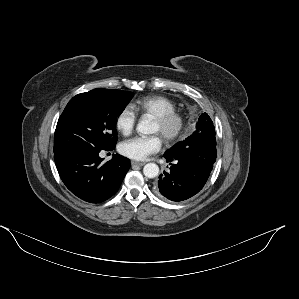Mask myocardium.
Segmentation results:
<instances>
[{"instance_id": "1", "label": "myocardium", "mask_w": 299, "mask_h": 299, "mask_svg": "<svg viewBox=\"0 0 299 299\" xmlns=\"http://www.w3.org/2000/svg\"><path fill=\"white\" fill-rule=\"evenodd\" d=\"M162 128V137L166 142H174L183 134L186 126V119L180 112L173 111L154 118Z\"/></svg>"}]
</instances>
